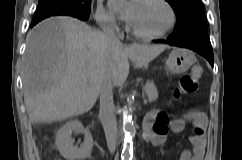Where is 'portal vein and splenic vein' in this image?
<instances>
[{"instance_id": "obj_1", "label": "portal vein and splenic vein", "mask_w": 242, "mask_h": 160, "mask_svg": "<svg viewBox=\"0 0 242 160\" xmlns=\"http://www.w3.org/2000/svg\"><path fill=\"white\" fill-rule=\"evenodd\" d=\"M144 103H147V100L146 99H144Z\"/></svg>"}]
</instances>
